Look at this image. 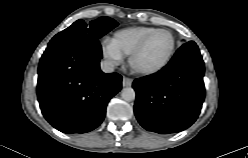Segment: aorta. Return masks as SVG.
Segmentation results:
<instances>
[{
	"instance_id": "obj_1",
	"label": "aorta",
	"mask_w": 248,
	"mask_h": 158,
	"mask_svg": "<svg viewBox=\"0 0 248 158\" xmlns=\"http://www.w3.org/2000/svg\"><path fill=\"white\" fill-rule=\"evenodd\" d=\"M135 91L131 87L123 88L121 91V97L125 101H133L135 99Z\"/></svg>"
}]
</instances>
